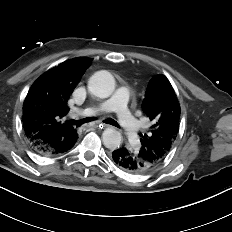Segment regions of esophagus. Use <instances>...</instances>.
Returning a JSON list of instances; mask_svg holds the SVG:
<instances>
[{
  "label": "esophagus",
  "instance_id": "esophagus-1",
  "mask_svg": "<svg viewBox=\"0 0 232 232\" xmlns=\"http://www.w3.org/2000/svg\"><path fill=\"white\" fill-rule=\"evenodd\" d=\"M91 126L94 128H100V129L109 127V125L103 124V123H92Z\"/></svg>",
  "mask_w": 232,
  "mask_h": 232
}]
</instances>
